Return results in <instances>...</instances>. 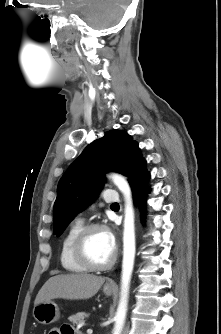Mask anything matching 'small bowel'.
<instances>
[{
    "mask_svg": "<svg viewBox=\"0 0 221 334\" xmlns=\"http://www.w3.org/2000/svg\"><path fill=\"white\" fill-rule=\"evenodd\" d=\"M49 334H76L73 329L67 327H61L60 329H53Z\"/></svg>",
    "mask_w": 221,
    "mask_h": 334,
    "instance_id": "1",
    "label": "small bowel"
}]
</instances>
